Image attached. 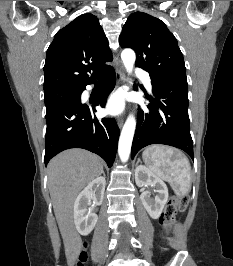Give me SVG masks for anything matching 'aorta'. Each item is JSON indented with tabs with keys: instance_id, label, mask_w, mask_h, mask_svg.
Here are the masks:
<instances>
[{
	"instance_id": "aorta-1",
	"label": "aorta",
	"mask_w": 233,
	"mask_h": 266,
	"mask_svg": "<svg viewBox=\"0 0 233 266\" xmlns=\"http://www.w3.org/2000/svg\"><path fill=\"white\" fill-rule=\"evenodd\" d=\"M121 58L126 71L128 72V74H131L136 60L135 52L129 48L124 49L121 53ZM135 127V117L130 114L122 128L119 138L118 153L122 162H126L129 158L133 136L135 133Z\"/></svg>"
}]
</instances>
